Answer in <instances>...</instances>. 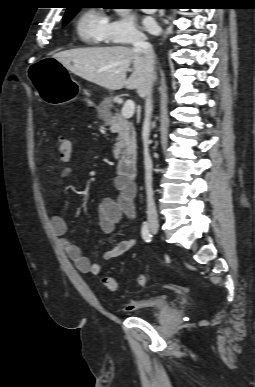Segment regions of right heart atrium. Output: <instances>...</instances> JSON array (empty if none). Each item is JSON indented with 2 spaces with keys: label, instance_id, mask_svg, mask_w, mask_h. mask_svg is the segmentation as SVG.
<instances>
[{
  "label": "right heart atrium",
  "instance_id": "1",
  "mask_svg": "<svg viewBox=\"0 0 255 387\" xmlns=\"http://www.w3.org/2000/svg\"><path fill=\"white\" fill-rule=\"evenodd\" d=\"M106 42L117 45H132L146 39L134 19L123 13L108 21L105 28Z\"/></svg>",
  "mask_w": 255,
  "mask_h": 387
}]
</instances>
